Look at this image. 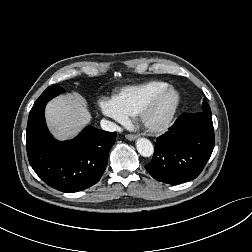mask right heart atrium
<instances>
[{
	"label": "right heart atrium",
	"mask_w": 252,
	"mask_h": 252,
	"mask_svg": "<svg viewBox=\"0 0 252 252\" xmlns=\"http://www.w3.org/2000/svg\"><path fill=\"white\" fill-rule=\"evenodd\" d=\"M99 105L101 111L117 123L125 125L129 122V116L121 111L112 100H101Z\"/></svg>",
	"instance_id": "obj_1"
}]
</instances>
